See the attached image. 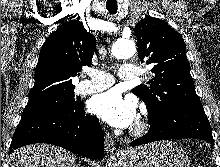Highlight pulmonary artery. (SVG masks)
Instances as JSON below:
<instances>
[{"mask_svg":"<svg viewBox=\"0 0 220 167\" xmlns=\"http://www.w3.org/2000/svg\"><path fill=\"white\" fill-rule=\"evenodd\" d=\"M140 75V70L135 65L123 63L119 70V78L122 80L134 79ZM89 79L83 81L78 88L79 94L87 95L109 88L115 83V79L107 72L90 70Z\"/></svg>","mask_w":220,"mask_h":167,"instance_id":"1","label":"pulmonary artery"}]
</instances>
